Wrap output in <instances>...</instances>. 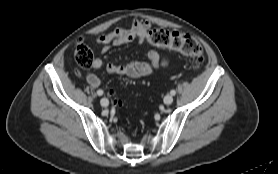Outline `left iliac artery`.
<instances>
[{
  "label": "left iliac artery",
  "mask_w": 278,
  "mask_h": 174,
  "mask_svg": "<svg viewBox=\"0 0 278 174\" xmlns=\"http://www.w3.org/2000/svg\"><path fill=\"white\" fill-rule=\"evenodd\" d=\"M170 94L174 96L176 94V91L175 90H171Z\"/></svg>",
  "instance_id": "1"
}]
</instances>
